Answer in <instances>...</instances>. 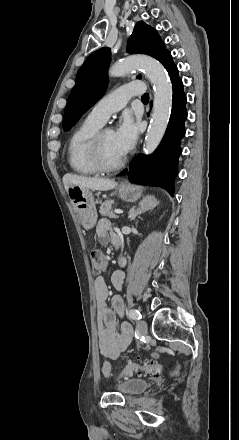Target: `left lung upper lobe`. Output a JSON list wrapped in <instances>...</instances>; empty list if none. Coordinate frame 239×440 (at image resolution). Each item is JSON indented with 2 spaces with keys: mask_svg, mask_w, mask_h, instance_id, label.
I'll return each mask as SVG.
<instances>
[{
  "mask_svg": "<svg viewBox=\"0 0 239 440\" xmlns=\"http://www.w3.org/2000/svg\"><path fill=\"white\" fill-rule=\"evenodd\" d=\"M127 51L131 54H147L160 62L169 52L165 49L156 30L143 21L135 25L128 40ZM110 57L109 48L98 49L86 59L79 69L75 86L71 90L65 107L64 131L70 130L80 116L103 96L108 84L107 68ZM137 78H141V76Z\"/></svg>",
  "mask_w": 239,
  "mask_h": 440,
  "instance_id": "1",
  "label": "left lung upper lobe"
}]
</instances>
